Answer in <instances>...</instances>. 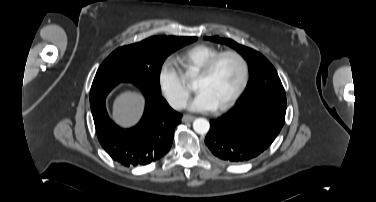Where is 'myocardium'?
Segmentation results:
<instances>
[{"label":"myocardium","mask_w":376,"mask_h":202,"mask_svg":"<svg viewBox=\"0 0 376 202\" xmlns=\"http://www.w3.org/2000/svg\"><path fill=\"white\" fill-rule=\"evenodd\" d=\"M227 56L233 57L239 62L242 74L240 84L234 94L223 105L216 108V110L219 112L226 111L227 109L232 107L246 89L250 75V69L247 59L241 53L235 50L221 51L210 58L196 74V76L199 78L208 77L214 70L219 60Z\"/></svg>","instance_id":"1"}]
</instances>
